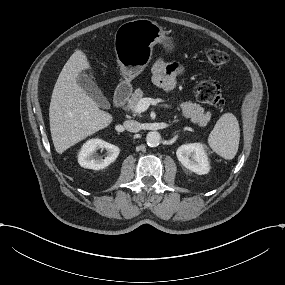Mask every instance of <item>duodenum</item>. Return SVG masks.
Segmentation results:
<instances>
[{
    "label": "duodenum",
    "instance_id": "obj_1",
    "mask_svg": "<svg viewBox=\"0 0 285 285\" xmlns=\"http://www.w3.org/2000/svg\"><path fill=\"white\" fill-rule=\"evenodd\" d=\"M131 94V87L128 84L121 85L117 88L114 95V105L116 107H122L129 99Z\"/></svg>",
    "mask_w": 285,
    "mask_h": 285
}]
</instances>
